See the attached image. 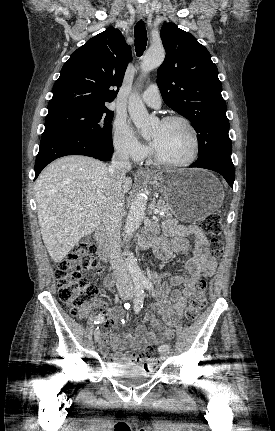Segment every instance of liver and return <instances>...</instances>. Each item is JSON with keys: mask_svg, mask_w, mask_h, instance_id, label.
Masks as SVG:
<instances>
[{"mask_svg": "<svg viewBox=\"0 0 275 431\" xmlns=\"http://www.w3.org/2000/svg\"><path fill=\"white\" fill-rule=\"evenodd\" d=\"M131 186L129 177L119 184L123 194ZM112 187L107 165L87 156L62 157L42 171L35 183L38 222L54 262L98 228Z\"/></svg>", "mask_w": 275, "mask_h": 431, "instance_id": "obj_1", "label": "liver"}]
</instances>
